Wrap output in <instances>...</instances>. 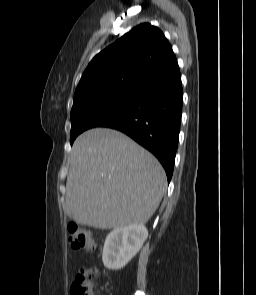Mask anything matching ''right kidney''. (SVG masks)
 Returning a JSON list of instances; mask_svg holds the SVG:
<instances>
[{"mask_svg":"<svg viewBox=\"0 0 256 295\" xmlns=\"http://www.w3.org/2000/svg\"><path fill=\"white\" fill-rule=\"evenodd\" d=\"M148 237L143 224H132L112 230L106 237L102 261L106 268H123L140 250Z\"/></svg>","mask_w":256,"mask_h":295,"instance_id":"1","label":"right kidney"}]
</instances>
